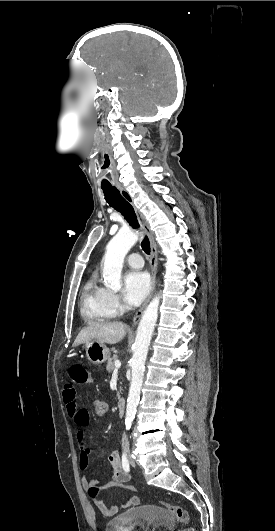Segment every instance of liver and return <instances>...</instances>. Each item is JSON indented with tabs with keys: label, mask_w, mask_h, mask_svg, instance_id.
Returning a JSON list of instances; mask_svg holds the SVG:
<instances>
[{
	"label": "liver",
	"mask_w": 275,
	"mask_h": 531,
	"mask_svg": "<svg viewBox=\"0 0 275 531\" xmlns=\"http://www.w3.org/2000/svg\"><path fill=\"white\" fill-rule=\"evenodd\" d=\"M126 335V325L123 323H89V327H84L77 335L72 347H78L82 343H89V341H98V343H109L115 345L122 341Z\"/></svg>",
	"instance_id": "liver-1"
}]
</instances>
